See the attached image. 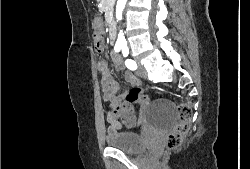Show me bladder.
Here are the masks:
<instances>
[{
  "label": "bladder",
  "instance_id": "bladder-1",
  "mask_svg": "<svg viewBox=\"0 0 250 169\" xmlns=\"http://www.w3.org/2000/svg\"><path fill=\"white\" fill-rule=\"evenodd\" d=\"M139 136L140 134L113 133L107 135L105 142L112 150L138 155L149 147V145H142V139Z\"/></svg>",
  "mask_w": 250,
  "mask_h": 169
}]
</instances>
